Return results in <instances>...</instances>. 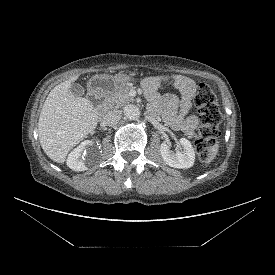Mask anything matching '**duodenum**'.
Instances as JSON below:
<instances>
[{"label":"duodenum","mask_w":275,"mask_h":275,"mask_svg":"<svg viewBox=\"0 0 275 275\" xmlns=\"http://www.w3.org/2000/svg\"><path fill=\"white\" fill-rule=\"evenodd\" d=\"M93 95L99 101L98 111H99V114L102 116L108 111V108H109L108 102L103 92L100 90H97V89L93 90Z\"/></svg>","instance_id":"410a0bca"}]
</instances>
